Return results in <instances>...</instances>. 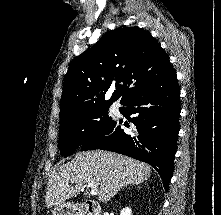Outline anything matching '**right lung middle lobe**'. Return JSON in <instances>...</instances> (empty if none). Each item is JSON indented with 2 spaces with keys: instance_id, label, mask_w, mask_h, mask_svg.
Here are the masks:
<instances>
[{
  "instance_id": "right-lung-middle-lobe-1",
  "label": "right lung middle lobe",
  "mask_w": 221,
  "mask_h": 215,
  "mask_svg": "<svg viewBox=\"0 0 221 215\" xmlns=\"http://www.w3.org/2000/svg\"><path fill=\"white\" fill-rule=\"evenodd\" d=\"M108 106L84 110L61 120L60 151L67 157L91 135L112 122Z\"/></svg>"
}]
</instances>
